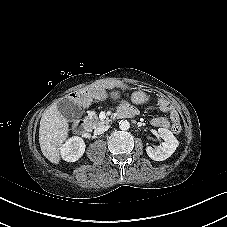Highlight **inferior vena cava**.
<instances>
[{"label": "inferior vena cava", "mask_w": 227, "mask_h": 227, "mask_svg": "<svg viewBox=\"0 0 227 227\" xmlns=\"http://www.w3.org/2000/svg\"><path fill=\"white\" fill-rule=\"evenodd\" d=\"M108 129H109V126H108V125H102V126L98 127V128L94 131V133H95L96 135H99V134L104 133V132L107 131Z\"/></svg>", "instance_id": "inferior-vena-cava-1"}]
</instances>
